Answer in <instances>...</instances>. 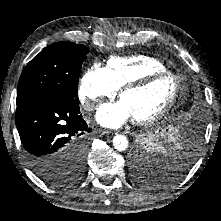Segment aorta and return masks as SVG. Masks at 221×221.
I'll list each match as a JSON object with an SVG mask.
<instances>
[{"label":"aorta","mask_w":221,"mask_h":221,"mask_svg":"<svg viewBox=\"0 0 221 221\" xmlns=\"http://www.w3.org/2000/svg\"><path fill=\"white\" fill-rule=\"evenodd\" d=\"M112 143L117 151H125L129 146L127 137L120 134L113 137Z\"/></svg>","instance_id":"1"}]
</instances>
